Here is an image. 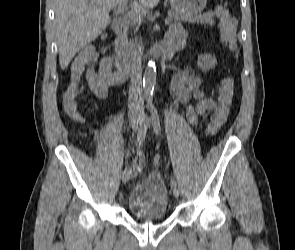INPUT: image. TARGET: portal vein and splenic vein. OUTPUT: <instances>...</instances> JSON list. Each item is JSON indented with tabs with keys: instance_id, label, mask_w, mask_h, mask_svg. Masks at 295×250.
<instances>
[{
	"instance_id": "1",
	"label": "portal vein and splenic vein",
	"mask_w": 295,
	"mask_h": 250,
	"mask_svg": "<svg viewBox=\"0 0 295 250\" xmlns=\"http://www.w3.org/2000/svg\"><path fill=\"white\" fill-rule=\"evenodd\" d=\"M117 12H118V13H122V14L125 13V12H127L128 15H129L132 19L136 20V21L139 22V23H141V21H142V16H141V14L137 11V9H135V8L132 6V9H131V10H128V8H127V2L118 5ZM164 22H165V25L170 24V22H171V18H166Z\"/></svg>"
}]
</instances>
